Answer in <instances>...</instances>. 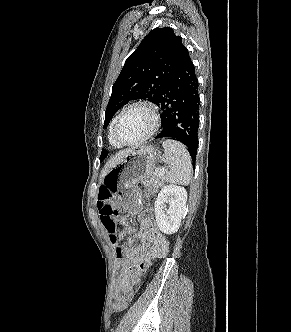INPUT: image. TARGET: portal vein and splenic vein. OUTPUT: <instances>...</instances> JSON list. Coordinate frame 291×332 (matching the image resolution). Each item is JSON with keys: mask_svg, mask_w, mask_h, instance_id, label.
Segmentation results:
<instances>
[{"mask_svg": "<svg viewBox=\"0 0 291 332\" xmlns=\"http://www.w3.org/2000/svg\"><path fill=\"white\" fill-rule=\"evenodd\" d=\"M166 171H167V168L162 167V168L159 169V171H158V175H159V176H162V175L165 174Z\"/></svg>", "mask_w": 291, "mask_h": 332, "instance_id": "portal-vein-and-splenic-vein-1", "label": "portal vein and splenic vein"}]
</instances>
